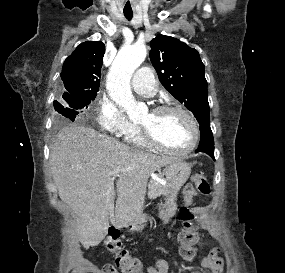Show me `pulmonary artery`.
<instances>
[{
	"mask_svg": "<svg viewBox=\"0 0 285 273\" xmlns=\"http://www.w3.org/2000/svg\"><path fill=\"white\" fill-rule=\"evenodd\" d=\"M131 84L135 91L146 96H153L157 91V83L149 67L139 68L133 75Z\"/></svg>",
	"mask_w": 285,
	"mask_h": 273,
	"instance_id": "1",
	"label": "pulmonary artery"
}]
</instances>
